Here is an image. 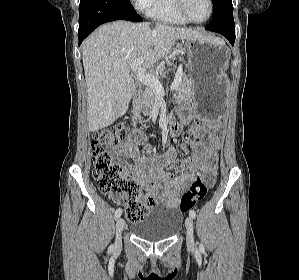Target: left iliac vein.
<instances>
[{
    "instance_id": "4c4485c4",
    "label": "left iliac vein",
    "mask_w": 299,
    "mask_h": 280,
    "mask_svg": "<svg viewBox=\"0 0 299 280\" xmlns=\"http://www.w3.org/2000/svg\"><path fill=\"white\" fill-rule=\"evenodd\" d=\"M186 236H187V246L190 250L195 247L194 235H193V219L192 217H187L186 221Z\"/></svg>"
}]
</instances>
